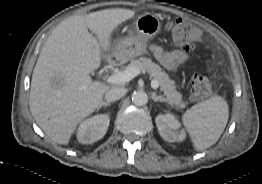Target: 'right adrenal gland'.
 <instances>
[{
    "mask_svg": "<svg viewBox=\"0 0 262 184\" xmlns=\"http://www.w3.org/2000/svg\"><path fill=\"white\" fill-rule=\"evenodd\" d=\"M110 105H111V102H109V101H102L100 103V105L98 106L97 110H99L102 107H107V106H110Z\"/></svg>",
    "mask_w": 262,
    "mask_h": 184,
    "instance_id": "1",
    "label": "right adrenal gland"
}]
</instances>
